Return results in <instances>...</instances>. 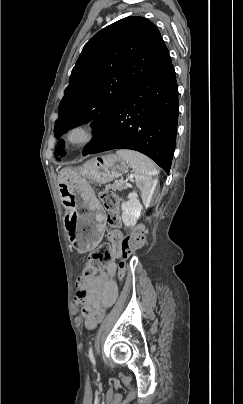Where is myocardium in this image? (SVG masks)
I'll return each instance as SVG.
<instances>
[{
    "instance_id": "1",
    "label": "myocardium",
    "mask_w": 243,
    "mask_h": 404,
    "mask_svg": "<svg viewBox=\"0 0 243 404\" xmlns=\"http://www.w3.org/2000/svg\"><path fill=\"white\" fill-rule=\"evenodd\" d=\"M81 131L83 133V138L79 141L72 139V135ZM97 130L95 124L86 119H80L69 123L62 134L63 143L73 149H82L89 146L96 138Z\"/></svg>"
}]
</instances>
